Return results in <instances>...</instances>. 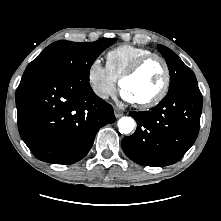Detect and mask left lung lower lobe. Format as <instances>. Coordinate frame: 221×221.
Returning a JSON list of instances; mask_svg holds the SVG:
<instances>
[{
  "label": "left lung lower lobe",
  "instance_id": "0a47b994",
  "mask_svg": "<svg viewBox=\"0 0 221 221\" xmlns=\"http://www.w3.org/2000/svg\"><path fill=\"white\" fill-rule=\"evenodd\" d=\"M202 112V94L198 84L168 92L149 111L131 112L137 129L124 137L122 148L134 162L151 167L176 163L195 142Z\"/></svg>",
  "mask_w": 221,
  "mask_h": 221
}]
</instances>
